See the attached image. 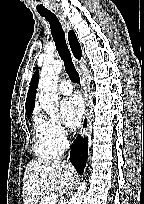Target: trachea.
<instances>
[{"mask_svg":"<svg viewBox=\"0 0 144 204\" xmlns=\"http://www.w3.org/2000/svg\"><path fill=\"white\" fill-rule=\"evenodd\" d=\"M40 15L43 16L50 24L51 34L55 42L56 49L64 62L67 74L73 82L79 83V74L72 62L71 54L65 40V33L62 29L61 23L59 22L56 15L51 12L42 13Z\"/></svg>","mask_w":144,"mask_h":204,"instance_id":"1","label":"trachea"}]
</instances>
